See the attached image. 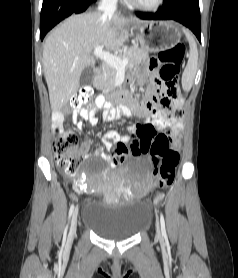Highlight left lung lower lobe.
Returning <instances> with one entry per match:
<instances>
[{"instance_id": "1", "label": "left lung lower lobe", "mask_w": 238, "mask_h": 278, "mask_svg": "<svg viewBox=\"0 0 238 278\" xmlns=\"http://www.w3.org/2000/svg\"><path fill=\"white\" fill-rule=\"evenodd\" d=\"M138 17L145 20H175L191 29L201 42L199 0H164L160 11Z\"/></svg>"}]
</instances>
